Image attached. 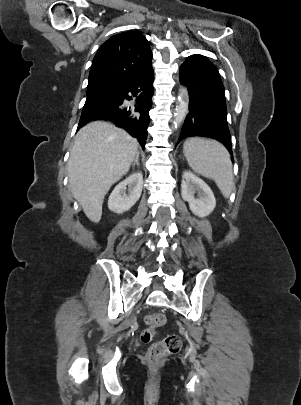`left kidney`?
<instances>
[{
  "instance_id": "left-kidney-1",
  "label": "left kidney",
  "mask_w": 301,
  "mask_h": 405,
  "mask_svg": "<svg viewBox=\"0 0 301 405\" xmlns=\"http://www.w3.org/2000/svg\"><path fill=\"white\" fill-rule=\"evenodd\" d=\"M196 193L197 197H195ZM181 196L189 203L190 210L201 218L208 216L216 206L211 188L191 172L183 174Z\"/></svg>"
}]
</instances>
